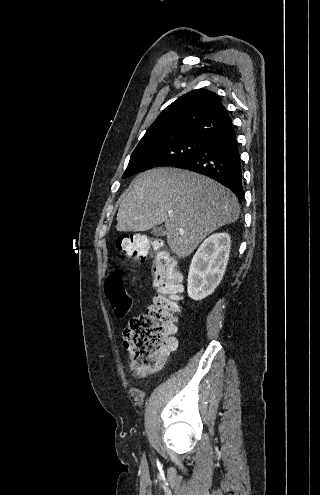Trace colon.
<instances>
[{
    "label": "colon",
    "mask_w": 320,
    "mask_h": 495,
    "mask_svg": "<svg viewBox=\"0 0 320 495\" xmlns=\"http://www.w3.org/2000/svg\"><path fill=\"white\" fill-rule=\"evenodd\" d=\"M116 247L127 259L141 263L152 259L153 286L158 295L147 311L130 319L123 332V345L129 353L130 370L138 377L163 367L169 354L176 349L173 336L176 314L180 311L181 275L176 262L162 242L143 233L121 235ZM105 294L115 314L124 317L132 301L119 274L107 276Z\"/></svg>",
    "instance_id": "5ec220e1"
}]
</instances>
